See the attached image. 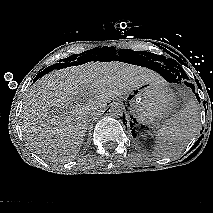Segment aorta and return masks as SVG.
<instances>
[{"instance_id": "762f6f07", "label": "aorta", "mask_w": 213, "mask_h": 213, "mask_svg": "<svg viewBox=\"0 0 213 213\" xmlns=\"http://www.w3.org/2000/svg\"><path fill=\"white\" fill-rule=\"evenodd\" d=\"M125 111V107L122 103L120 102H113L111 105H110V108H109V115L113 118H120L123 116V113Z\"/></svg>"}]
</instances>
